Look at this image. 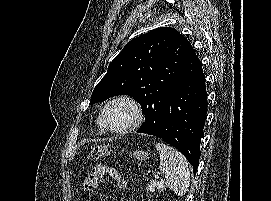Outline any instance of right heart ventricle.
<instances>
[{
	"mask_svg": "<svg viewBox=\"0 0 271 201\" xmlns=\"http://www.w3.org/2000/svg\"><path fill=\"white\" fill-rule=\"evenodd\" d=\"M96 127H97V131L100 134H104L106 132V130L104 129V127H103V125L101 123L100 117H98L97 120H96Z\"/></svg>",
	"mask_w": 271,
	"mask_h": 201,
	"instance_id": "1",
	"label": "right heart ventricle"
}]
</instances>
